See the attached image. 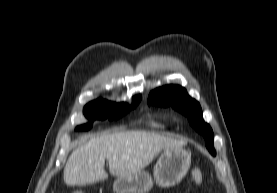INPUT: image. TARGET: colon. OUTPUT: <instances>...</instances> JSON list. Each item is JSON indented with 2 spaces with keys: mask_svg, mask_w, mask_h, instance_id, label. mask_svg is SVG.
I'll return each mask as SVG.
<instances>
[{
  "mask_svg": "<svg viewBox=\"0 0 277 193\" xmlns=\"http://www.w3.org/2000/svg\"><path fill=\"white\" fill-rule=\"evenodd\" d=\"M203 179L202 172L200 169H193L190 173V181L193 185L201 184ZM73 193H85L82 190L74 191Z\"/></svg>",
  "mask_w": 277,
  "mask_h": 193,
  "instance_id": "1",
  "label": "colon"
}]
</instances>
